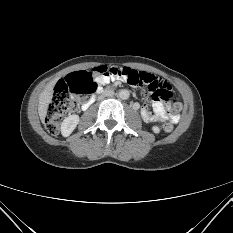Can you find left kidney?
<instances>
[{"label": "left kidney", "instance_id": "obj_1", "mask_svg": "<svg viewBox=\"0 0 233 233\" xmlns=\"http://www.w3.org/2000/svg\"><path fill=\"white\" fill-rule=\"evenodd\" d=\"M152 130L155 134H158L160 132V128L158 126H153Z\"/></svg>", "mask_w": 233, "mask_h": 233}]
</instances>
